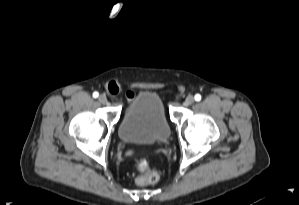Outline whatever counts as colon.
Here are the masks:
<instances>
[{
	"label": "colon",
	"mask_w": 299,
	"mask_h": 205,
	"mask_svg": "<svg viewBox=\"0 0 299 205\" xmlns=\"http://www.w3.org/2000/svg\"><path fill=\"white\" fill-rule=\"evenodd\" d=\"M136 169L140 173V176L136 179L138 185L154 184L159 180L158 172L150 168L145 159H141L137 162Z\"/></svg>",
	"instance_id": "colon-1"
}]
</instances>
